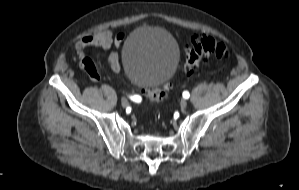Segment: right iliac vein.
I'll list each match as a JSON object with an SVG mask.
<instances>
[{"label":"right iliac vein","mask_w":299,"mask_h":190,"mask_svg":"<svg viewBox=\"0 0 299 190\" xmlns=\"http://www.w3.org/2000/svg\"><path fill=\"white\" fill-rule=\"evenodd\" d=\"M128 100L126 99V98H123L122 100H121V105L123 106V107H126L127 105H128Z\"/></svg>","instance_id":"right-iliac-vein-1"}]
</instances>
